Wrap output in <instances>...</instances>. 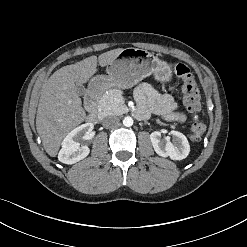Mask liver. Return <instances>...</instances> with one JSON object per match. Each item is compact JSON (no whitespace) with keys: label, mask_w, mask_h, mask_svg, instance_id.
<instances>
[{"label":"liver","mask_w":247,"mask_h":247,"mask_svg":"<svg viewBox=\"0 0 247 247\" xmlns=\"http://www.w3.org/2000/svg\"><path fill=\"white\" fill-rule=\"evenodd\" d=\"M122 50L123 48H117L102 53L98 61L96 56H90L64 66L43 84L36 115V129L48 155L55 157L65 136L86 118L76 84L88 82L97 72V62L101 67H105Z\"/></svg>","instance_id":"obj_1"}]
</instances>
